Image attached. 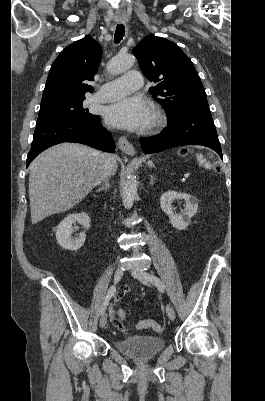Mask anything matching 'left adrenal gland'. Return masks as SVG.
Returning a JSON list of instances; mask_svg holds the SVG:
<instances>
[{"label":"left adrenal gland","mask_w":265,"mask_h":401,"mask_svg":"<svg viewBox=\"0 0 265 401\" xmlns=\"http://www.w3.org/2000/svg\"><path fill=\"white\" fill-rule=\"evenodd\" d=\"M149 176H150V178H151L150 184H154L155 178H154L153 174H149Z\"/></svg>","instance_id":"a2214340"}]
</instances>
